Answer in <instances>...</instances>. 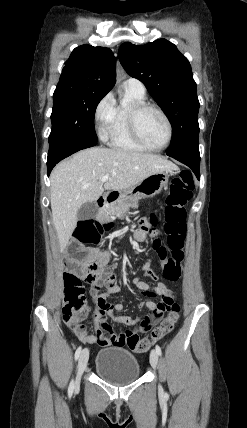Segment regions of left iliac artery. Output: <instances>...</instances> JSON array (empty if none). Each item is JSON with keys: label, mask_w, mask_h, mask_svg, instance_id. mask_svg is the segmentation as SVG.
Wrapping results in <instances>:
<instances>
[{"label": "left iliac artery", "mask_w": 247, "mask_h": 428, "mask_svg": "<svg viewBox=\"0 0 247 428\" xmlns=\"http://www.w3.org/2000/svg\"><path fill=\"white\" fill-rule=\"evenodd\" d=\"M155 349H156L157 354L160 356L162 354L160 346L156 345Z\"/></svg>", "instance_id": "1"}]
</instances>
